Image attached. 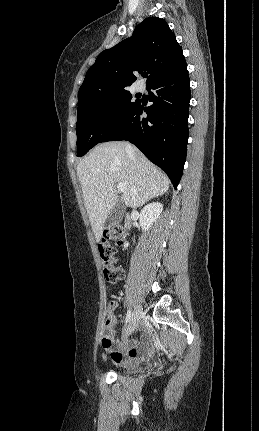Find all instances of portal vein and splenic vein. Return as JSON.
I'll return each mask as SVG.
<instances>
[{"label":"portal vein and splenic vein","mask_w":259,"mask_h":431,"mask_svg":"<svg viewBox=\"0 0 259 431\" xmlns=\"http://www.w3.org/2000/svg\"><path fill=\"white\" fill-rule=\"evenodd\" d=\"M117 189H118V191H120V192H124V191L126 190V185H125V184H123V183H118V184H117Z\"/></svg>","instance_id":"obj_1"}]
</instances>
